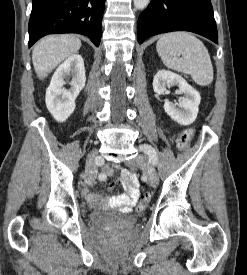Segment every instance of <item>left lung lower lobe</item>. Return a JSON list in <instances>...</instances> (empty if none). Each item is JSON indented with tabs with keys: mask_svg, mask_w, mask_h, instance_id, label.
I'll return each instance as SVG.
<instances>
[{
	"mask_svg": "<svg viewBox=\"0 0 247 275\" xmlns=\"http://www.w3.org/2000/svg\"><path fill=\"white\" fill-rule=\"evenodd\" d=\"M190 31L217 43V27L210 0H151L137 23L138 42L150 36Z\"/></svg>",
	"mask_w": 247,
	"mask_h": 275,
	"instance_id": "left-lung-lower-lobe-1",
	"label": "left lung lower lobe"
}]
</instances>
